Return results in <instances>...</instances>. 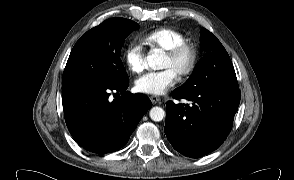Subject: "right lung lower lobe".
Masks as SVG:
<instances>
[{
    "instance_id": "right-lung-lower-lobe-1",
    "label": "right lung lower lobe",
    "mask_w": 294,
    "mask_h": 180,
    "mask_svg": "<svg viewBox=\"0 0 294 180\" xmlns=\"http://www.w3.org/2000/svg\"><path fill=\"white\" fill-rule=\"evenodd\" d=\"M128 85L129 81L122 84L82 81L62 86L66 125L83 148L104 154L128 142L152 106L146 95L126 91ZM111 91L120 93L121 97L111 100Z\"/></svg>"
}]
</instances>
